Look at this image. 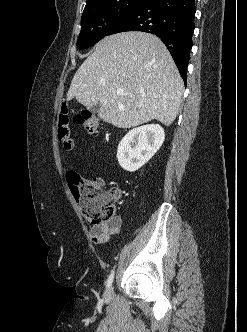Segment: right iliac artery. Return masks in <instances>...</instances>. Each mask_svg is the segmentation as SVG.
<instances>
[{"mask_svg": "<svg viewBox=\"0 0 247 332\" xmlns=\"http://www.w3.org/2000/svg\"><path fill=\"white\" fill-rule=\"evenodd\" d=\"M114 270L111 272V274H110V276L108 277V279H107V283H106V285H107V287H110L111 285H112V282H113V279H114Z\"/></svg>", "mask_w": 247, "mask_h": 332, "instance_id": "1", "label": "right iliac artery"}]
</instances>
